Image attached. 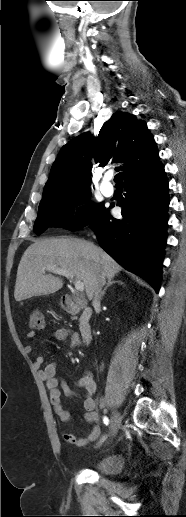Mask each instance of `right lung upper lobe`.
<instances>
[{"label":"right lung upper lobe","mask_w":186,"mask_h":517,"mask_svg":"<svg viewBox=\"0 0 186 517\" xmlns=\"http://www.w3.org/2000/svg\"><path fill=\"white\" fill-rule=\"evenodd\" d=\"M100 166L123 162L124 182L152 168L159 162L156 143L146 123L134 115L117 111L104 123L97 138L82 133L64 145L52 165L42 200L89 190L90 158Z\"/></svg>","instance_id":"right-lung-upper-lobe-1"}]
</instances>
